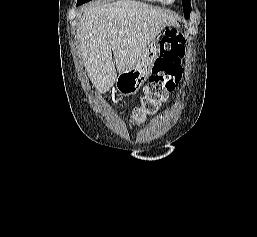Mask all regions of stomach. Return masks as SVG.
<instances>
[{"label": "stomach", "instance_id": "stomach-1", "mask_svg": "<svg viewBox=\"0 0 257 237\" xmlns=\"http://www.w3.org/2000/svg\"><path fill=\"white\" fill-rule=\"evenodd\" d=\"M158 52V39H153L147 45L136 65L119 74L116 81V87L121 94L132 95L140 89L151 73Z\"/></svg>", "mask_w": 257, "mask_h": 237}]
</instances>
